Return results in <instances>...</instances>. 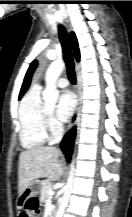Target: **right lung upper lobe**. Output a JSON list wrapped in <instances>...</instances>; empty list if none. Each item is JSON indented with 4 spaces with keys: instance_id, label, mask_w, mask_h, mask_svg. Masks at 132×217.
<instances>
[{
    "instance_id": "obj_1",
    "label": "right lung upper lobe",
    "mask_w": 132,
    "mask_h": 217,
    "mask_svg": "<svg viewBox=\"0 0 132 217\" xmlns=\"http://www.w3.org/2000/svg\"><path fill=\"white\" fill-rule=\"evenodd\" d=\"M70 38H71V43H72V47H73V50H74L75 57H76V59L78 61L79 58H80V52H79L78 43H77V39L75 37V34L71 33ZM36 67H37V61L34 60L31 63V65H30V67H29V69H28V71L26 73V76L24 78V82L22 84V88H21V91H20L19 98H21L23 96V94L25 93V91L28 89L30 81H31L32 74H33Z\"/></svg>"
}]
</instances>
